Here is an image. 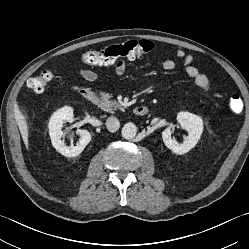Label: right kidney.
<instances>
[{"label":"right kidney","instance_id":"ca27d5eb","mask_svg":"<svg viewBox=\"0 0 249 249\" xmlns=\"http://www.w3.org/2000/svg\"><path fill=\"white\" fill-rule=\"evenodd\" d=\"M73 120V109L66 106L57 110L51 116L48 125L53 147L66 157L78 156L91 141V134L87 130H78L77 133L80 135L79 143L73 147L65 145L64 140L61 139L64 135L62 127L64 122H72Z\"/></svg>","mask_w":249,"mask_h":249}]
</instances>
